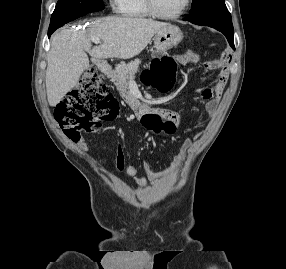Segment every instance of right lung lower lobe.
<instances>
[{
  "label": "right lung lower lobe",
  "instance_id": "1",
  "mask_svg": "<svg viewBox=\"0 0 286 269\" xmlns=\"http://www.w3.org/2000/svg\"><path fill=\"white\" fill-rule=\"evenodd\" d=\"M105 7V6H104ZM104 9V8H103ZM56 29H49L48 30V37H50L51 36V34L55 31Z\"/></svg>",
  "mask_w": 286,
  "mask_h": 269
}]
</instances>
